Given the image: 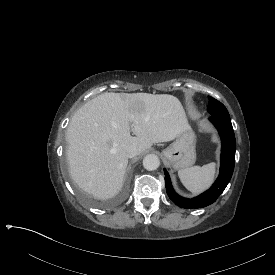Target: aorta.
I'll list each match as a JSON object with an SVG mask.
<instances>
[{
  "mask_svg": "<svg viewBox=\"0 0 275 275\" xmlns=\"http://www.w3.org/2000/svg\"><path fill=\"white\" fill-rule=\"evenodd\" d=\"M160 165V160L155 154H148L143 159V166L146 170H156Z\"/></svg>",
  "mask_w": 275,
  "mask_h": 275,
  "instance_id": "obj_1",
  "label": "aorta"
}]
</instances>
